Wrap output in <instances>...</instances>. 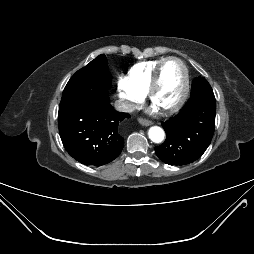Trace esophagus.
Returning <instances> with one entry per match:
<instances>
[{
	"mask_svg": "<svg viewBox=\"0 0 254 254\" xmlns=\"http://www.w3.org/2000/svg\"><path fill=\"white\" fill-rule=\"evenodd\" d=\"M138 122L143 125V126H150L152 125V122L147 120V119H144V118H138Z\"/></svg>",
	"mask_w": 254,
	"mask_h": 254,
	"instance_id": "34e87169",
	"label": "esophagus"
}]
</instances>
